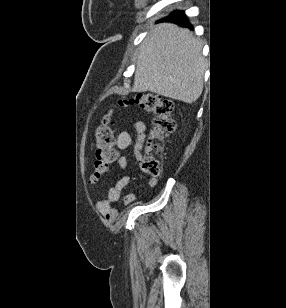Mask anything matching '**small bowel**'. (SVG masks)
<instances>
[{"instance_id": "c3829d8e", "label": "small bowel", "mask_w": 286, "mask_h": 308, "mask_svg": "<svg viewBox=\"0 0 286 308\" xmlns=\"http://www.w3.org/2000/svg\"><path fill=\"white\" fill-rule=\"evenodd\" d=\"M133 128L135 130V135L133 136L130 131H122L117 140V147L120 150H125L129 148L132 143L134 142L135 146V155L137 159L141 158L140 149L142 143L145 138V126L142 122H135L133 124ZM117 164L119 167L123 168L126 166V159L124 157H119L117 160ZM132 176L124 175L120 176L112 183L111 187L109 188L105 199H103L99 203L100 210L106 215L108 219H114L117 216V210L113 208V203L116 202L124 190L125 186L128 184ZM156 184L155 181L151 180L150 185L154 186ZM134 200L133 194H127L124 197L125 204H131Z\"/></svg>"}]
</instances>
